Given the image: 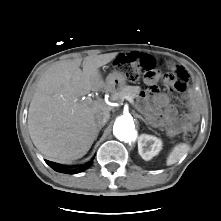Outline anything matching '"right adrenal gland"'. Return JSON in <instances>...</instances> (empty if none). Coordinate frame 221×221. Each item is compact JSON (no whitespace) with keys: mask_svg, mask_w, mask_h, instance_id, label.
<instances>
[{"mask_svg":"<svg viewBox=\"0 0 221 221\" xmlns=\"http://www.w3.org/2000/svg\"><path fill=\"white\" fill-rule=\"evenodd\" d=\"M100 130H101V127H99V128L97 129L96 136H95V141L97 140V137H98V134H99Z\"/></svg>","mask_w":221,"mask_h":221,"instance_id":"right-adrenal-gland-1","label":"right adrenal gland"}]
</instances>
